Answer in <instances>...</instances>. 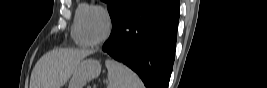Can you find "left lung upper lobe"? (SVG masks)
Instances as JSON below:
<instances>
[{
  "label": "left lung upper lobe",
  "mask_w": 267,
  "mask_h": 88,
  "mask_svg": "<svg viewBox=\"0 0 267 88\" xmlns=\"http://www.w3.org/2000/svg\"><path fill=\"white\" fill-rule=\"evenodd\" d=\"M107 3L108 11L114 23L130 0H103Z\"/></svg>",
  "instance_id": "5c2ea615"
}]
</instances>
